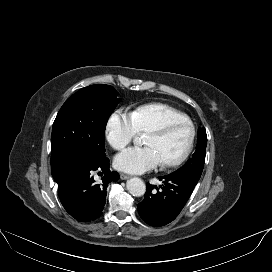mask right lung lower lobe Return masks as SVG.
<instances>
[{"label": "right lung lower lobe", "instance_id": "obj_1", "mask_svg": "<svg viewBox=\"0 0 272 272\" xmlns=\"http://www.w3.org/2000/svg\"><path fill=\"white\" fill-rule=\"evenodd\" d=\"M94 171L101 173L100 182L94 180ZM119 177L117 172L110 171L109 159L105 156L79 163L54 180L65 210L79 222H90L101 216L108 184Z\"/></svg>", "mask_w": 272, "mask_h": 272}]
</instances>
